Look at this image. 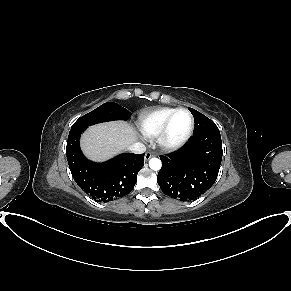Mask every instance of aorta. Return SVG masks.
I'll return each mask as SVG.
<instances>
[{"label":"aorta","mask_w":291,"mask_h":291,"mask_svg":"<svg viewBox=\"0 0 291 291\" xmlns=\"http://www.w3.org/2000/svg\"><path fill=\"white\" fill-rule=\"evenodd\" d=\"M162 166V163L160 159L158 158H151L149 160V167L155 171L160 170Z\"/></svg>","instance_id":"1"}]
</instances>
